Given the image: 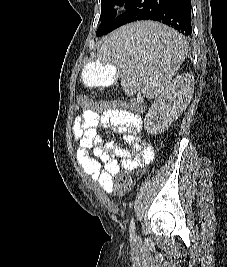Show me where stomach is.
Returning <instances> with one entry per match:
<instances>
[{
    "instance_id": "obj_1",
    "label": "stomach",
    "mask_w": 227,
    "mask_h": 267,
    "mask_svg": "<svg viewBox=\"0 0 227 267\" xmlns=\"http://www.w3.org/2000/svg\"><path fill=\"white\" fill-rule=\"evenodd\" d=\"M129 66L124 63L88 62L81 73V78L85 85L89 87L109 86L119 73L128 72Z\"/></svg>"
}]
</instances>
